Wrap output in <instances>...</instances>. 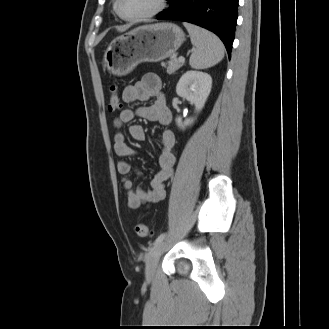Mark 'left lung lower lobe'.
<instances>
[{
  "mask_svg": "<svg viewBox=\"0 0 329 329\" xmlns=\"http://www.w3.org/2000/svg\"><path fill=\"white\" fill-rule=\"evenodd\" d=\"M168 1L170 8L160 12L157 19L186 21L212 31L222 40L230 58L238 17V0Z\"/></svg>",
  "mask_w": 329,
  "mask_h": 329,
  "instance_id": "left-lung-lower-lobe-1",
  "label": "left lung lower lobe"
}]
</instances>
